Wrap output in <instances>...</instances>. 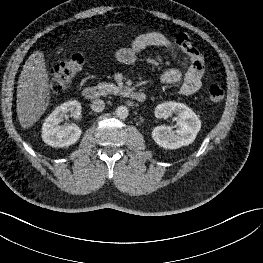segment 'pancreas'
<instances>
[{"mask_svg":"<svg viewBox=\"0 0 263 263\" xmlns=\"http://www.w3.org/2000/svg\"><path fill=\"white\" fill-rule=\"evenodd\" d=\"M97 88L100 95L118 94L122 90V87L116 86L112 83H98Z\"/></svg>","mask_w":263,"mask_h":263,"instance_id":"cf45deb5","label":"pancreas"}]
</instances>
